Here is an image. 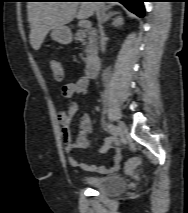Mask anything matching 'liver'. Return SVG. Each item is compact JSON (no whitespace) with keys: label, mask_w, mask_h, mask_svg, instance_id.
<instances>
[{"label":"liver","mask_w":188,"mask_h":213,"mask_svg":"<svg viewBox=\"0 0 188 213\" xmlns=\"http://www.w3.org/2000/svg\"><path fill=\"white\" fill-rule=\"evenodd\" d=\"M97 9L105 11L109 6L101 2H28L32 48L39 50L50 30L70 23L76 14L78 18L84 19L93 16Z\"/></svg>","instance_id":"liver-1"}]
</instances>
